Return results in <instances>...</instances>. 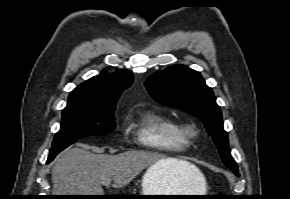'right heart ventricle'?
Returning <instances> with one entry per match:
<instances>
[{"label": "right heart ventricle", "mask_w": 290, "mask_h": 199, "mask_svg": "<svg viewBox=\"0 0 290 199\" xmlns=\"http://www.w3.org/2000/svg\"><path fill=\"white\" fill-rule=\"evenodd\" d=\"M128 130L143 146L157 151L177 153L190 145L174 120L152 110L130 117Z\"/></svg>", "instance_id": "obj_1"}]
</instances>
